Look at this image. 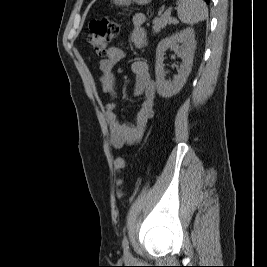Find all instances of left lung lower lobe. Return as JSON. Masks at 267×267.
Masks as SVG:
<instances>
[{
  "mask_svg": "<svg viewBox=\"0 0 267 267\" xmlns=\"http://www.w3.org/2000/svg\"><path fill=\"white\" fill-rule=\"evenodd\" d=\"M205 1H206L207 4L210 2V0H205Z\"/></svg>",
  "mask_w": 267,
  "mask_h": 267,
  "instance_id": "left-lung-lower-lobe-1",
  "label": "left lung lower lobe"
}]
</instances>
